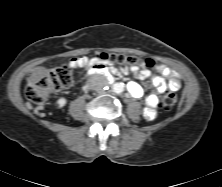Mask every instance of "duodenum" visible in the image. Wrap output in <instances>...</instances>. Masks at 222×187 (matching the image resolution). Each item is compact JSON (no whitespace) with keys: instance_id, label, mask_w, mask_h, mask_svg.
Listing matches in <instances>:
<instances>
[{"instance_id":"duodenum-1","label":"duodenum","mask_w":222,"mask_h":187,"mask_svg":"<svg viewBox=\"0 0 222 187\" xmlns=\"http://www.w3.org/2000/svg\"><path fill=\"white\" fill-rule=\"evenodd\" d=\"M104 72L108 73V77L110 80L114 79V75L112 73L108 72L106 69H100V68L96 69L93 71V74L104 73Z\"/></svg>"}]
</instances>
